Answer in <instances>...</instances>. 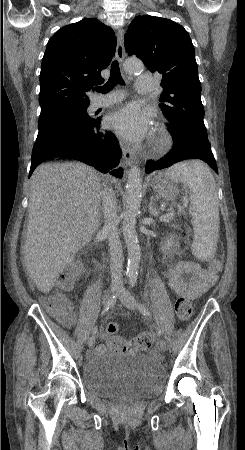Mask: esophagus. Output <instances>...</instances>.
Instances as JSON below:
<instances>
[{
  "label": "esophagus",
  "mask_w": 245,
  "mask_h": 450,
  "mask_svg": "<svg viewBox=\"0 0 245 450\" xmlns=\"http://www.w3.org/2000/svg\"><path fill=\"white\" fill-rule=\"evenodd\" d=\"M124 31L122 28H118L117 30V47H116V58L119 62H122L125 57V48H124ZM121 149L123 153V159L126 166H131L134 160V153L132 149L126 145L121 144Z\"/></svg>",
  "instance_id": "obj_1"
}]
</instances>
